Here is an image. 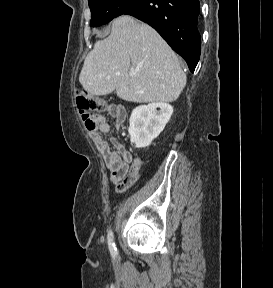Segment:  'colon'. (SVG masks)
<instances>
[{"mask_svg": "<svg viewBox=\"0 0 273 288\" xmlns=\"http://www.w3.org/2000/svg\"><path fill=\"white\" fill-rule=\"evenodd\" d=\"M76 103L80 116L90 132H95L98 127L96 117L106 108L105 102L97 97L86 95L82 91L76 92Z\"/></svg>", "mask_w": 273, "mask_h": 288, "instance_id": "5ec220e1", "label": "colon"}]
</instances>
